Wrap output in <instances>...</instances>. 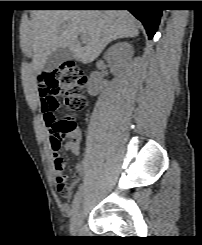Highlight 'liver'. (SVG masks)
<instances>
[{"label":"liver","instance_id":"6515ba94","mask_svg":"<svg viewBox=\"0 0 202 245\" xmlns=\"http://www.w3.org/2000/svg\"><path fill=\"white\" fill-rule=\"evenodd\" d=\"M86 35L82 47L78 36ZM138 23L126 10H37L21 30V47L33 54L41 72L48 56L67 48L84 64L93 62L113 40L138 36Z\"/></svg>","mask_w":202,"mask_h":245}]
</instances>
